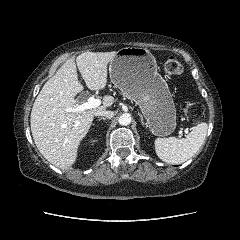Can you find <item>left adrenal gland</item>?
Returning a JSON list of instances; mask_svg holds the SVG:
<instances>
[{
  "label": "left adrenal gland",
  "mask_w": 240,
  "mask_h": 240,
  "mask_svg": "<svg viewBox=\"0 0 240 240\" xmlns=\"http://www.w3.org/2000/svg\"><path fill=\"white\" fill-rule=\"evenodd\" d=\"M138 115L140 116L141 123L144 124V122H143V118H142V115H141L140 113H138Z\"/></svg>",
  "instance_id": "obj_1"
}]
</instances>
